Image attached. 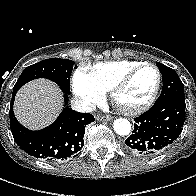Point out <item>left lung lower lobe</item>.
Segmentation results:
<instances>
[{
  "label": "left lung lower lobe",
  "instance_id": "1",
  "mask_svg": "<svg viewBox=\"0 0 196 196\" xmlns=\"http://www.w3.org/2000/svg\"><path fill=\"white\" fill-rule=\"evenodd\" d=\"M185 108V100L156 101L148 111L134 119L133 133L125 140L126 150L145 157L162 152L181 134Z\"/></svg>",
  "mask_w": 196,
  "mask_h": 196
}]
</instances>
